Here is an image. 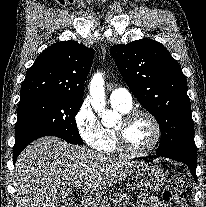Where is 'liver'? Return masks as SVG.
<instances>
[{"label":"liver","mask_w":206,"mask_h":207,"mask_svg":"<svg viewBox=\"0 0 206 207\" xmlns=\"http://www.w3.org/2000/svg\"><path fill=\"white\" fill-rule=\"evenodd\" d=\"M142 163L114 159L85 147L46 136L19 155L13 175L16 207H58L77 184L93 205L97 193L132 174ZM80 187V188H81Z\"/></svg>","instance_id":"liver-1"}]
</instances>
